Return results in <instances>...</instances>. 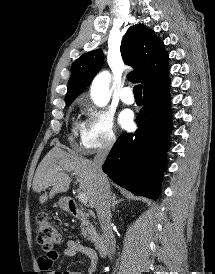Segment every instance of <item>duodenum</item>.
<instances>
[{
  "mask_svg": "<svg viewBox=\"0 0 215 274\" xmlns=\"http://www.w3.org/2000/svg\"><path fill=\"white\" fill-rule=\"evenodd\" d=\"M66 205H67V208L70 212V214L77 218V219H80V220H86L88 218V214H86L85 212H83L79 206L75 203L74 200L72 199H67L66 201ZM94 246H95V249L96 251L100 254V255H105L106 252H107V242H106V239L98 234L95 236L94 238Z\"/></svg>",
  "mask_w": 215,
  "mask_h": 274,
  "instance_id": "obj_1",
  "label": "duodenum"
}]
</instances>
